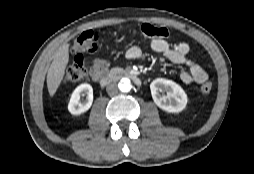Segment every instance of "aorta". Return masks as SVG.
<instances>
[{
	"mask_svg": "<svg viewBox=\"0 0 254 174\" xmlns=\"http://www.w3.org/2000/svg\"><path fill=\"white\" fill-rule=\"evenodd\" d=\"M118 88L121 92H129L132 88L130 80L128 78H122L118 84Z\"/></svg>",
	"mask_w": 254,
	"mask_h": 174,
	"instance_id": "762f6f07",
	"label": "aorta"
}]
</instances>
